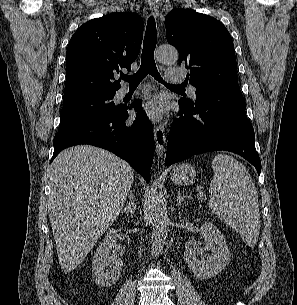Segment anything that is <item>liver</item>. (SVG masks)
<instances>
[{
    "instance_id": "6515ba94",
    "label": "liver",
    "mask_w": 297,
    "mask_h": 305,
    "mask_svg": "<svg viewBox=\"0 0 297 305\" xmlns=\"http://www.w3.org/2000/svg\"><path fill=\"white\" fill-rule=\"evenodd\" d=\"M48 213L61 268L75 269L122 210L132 167L90 145L63 150L50 165Z\"/></svg>"
}]
</instances>
